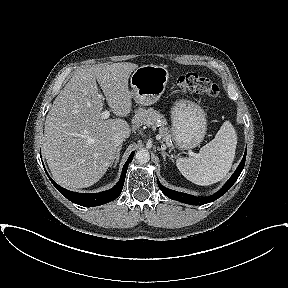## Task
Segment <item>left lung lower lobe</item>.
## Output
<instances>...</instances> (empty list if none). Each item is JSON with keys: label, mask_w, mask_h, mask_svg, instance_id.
<instances>
[{"label": "left lung lower lobe", "mask_w": 288, "mask_h": 288, "mask_svg": "<svg viewBox=\"0 0 288 288\" xmlns=\"http://www.w3.org/2000/svg\"><path fill=\"white\" fill-rule=\"evenodd\" d=\"M246 152H247V149H246L245 154L242 158V161L240 162L238 168L233 173L231 178L226 182V184L222 187L221 190H219L217 193H215L212 196L200 198V197L192 196V195L185 194L182 192H177V191L165 188L164 186H162L160 184L159 181H158V186H159L160 190L164 193V195H166L170 199L180 201L182 203H186V204H190V205H197V204H206V203L213 202V201L217 200L218 198H220L222 195H224L232 187V185L236 182V180L238 179V177L241 174V172L244 168V165H245Z\"/></svg>", "instance_id": "obj_1"}]
</instances>
